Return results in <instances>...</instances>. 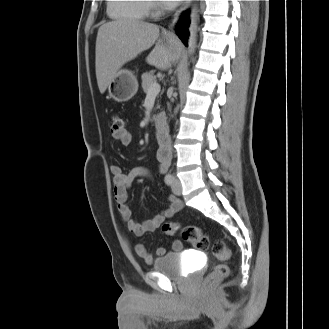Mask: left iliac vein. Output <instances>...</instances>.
<instances>
[{"instance_id": "1", "label": "left iliac vein", "mask_w": 329, "mask_h": 329, "mask_svg": "<svg viewBox=\"0 0 329 329\" xmlns=\"http://www.w3.org/2000/svg\"><path fill=\"white\" fill-rule=\"evenodd\" d=\"M172 191L175 195H180L182 192L180 181L177 178L173 180Z\"/></svg>"}]
</instances>
